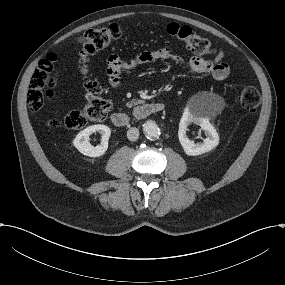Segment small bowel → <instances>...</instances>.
Wrapping results in <instances>:
<instances>
[{
    "label": "small bowel",
    "mask_w": 285,
    "mask_h": 285,
    "mask_svg": "<svg viewBox=\"0 0 285 285\" xmlns=\"http://www.w3.org/2000/svg\"><path fill=\"white\" fill-rule=\"evenodd\" d=\"M223 58V51H219L213 61L197 55H193L187 61H185L171 48L163 47L156 50L140 52L130 60H124L117 55H113L108 59L106 71L110 86L113 89H118L120 87V74L122 71L132 70L139 65L152 63L159 60H169L178 64H185L193 73L208 75L215 81H222L225 80L230 74V68L223 61Z\"/></svg>",
    "instance_id": "c3829d8e"
}]
</instances>
